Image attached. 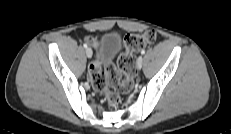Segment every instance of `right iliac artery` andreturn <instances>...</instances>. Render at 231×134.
<instances>
[{
	"label": "right iliac artery",
	"instance_id": "82829eb1",
	"mask_svg": "<svg viewBox=\"0 0 231 134\" xmlns=\"http://www.w3.org/2000/svg\"><path fill=\"white\" fill-rule=\"evenodd\" d=\"M83 47H84V48H87V44H83Z\"/></svg>",
	"mask_w": 231,
	"mask_h": 134
}]
</instances>
